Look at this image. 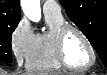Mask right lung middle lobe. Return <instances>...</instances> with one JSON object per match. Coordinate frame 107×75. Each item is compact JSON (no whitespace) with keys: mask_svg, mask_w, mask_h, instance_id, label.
Wrapping results in <instances>:
<instances>
[{"mask_svg":"<svg viewBox=\"0 0 107 75\" xmlns=\"http://www.w3.org/2000/svg\"><path fill=\"white\" fill-rule=\"evenodd\" d=\"M18 23L0 26V61L12 62L11 37Z\"/></svg>","mask_w":107,"mask_h":75,"instance_id":"right-lung-middle-lobe-1","label":"right lung middle lobe"}]
</instances>
